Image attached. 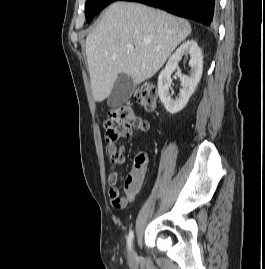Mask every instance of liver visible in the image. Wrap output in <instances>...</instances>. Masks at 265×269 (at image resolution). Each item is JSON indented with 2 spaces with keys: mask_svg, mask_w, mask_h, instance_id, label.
<instances>
[{
  "mask_svg": "<svg viewBox=\"0 0 265 269\" xmlns=\"http://www.w3.org/2000/svg\"><path fill=\"white\" fill-rule=\"evenodd\" d=\"M191 30L187 20L159 9L111 4L85 43L95 101L110 95L119 74L130 76L135 85L150 79Z\"/></svg>",
  "mask_w": 265,
  "mask_h": 269,
  "instance_id": "6515ba94",
  "label": "liver"
}]
</instances>
